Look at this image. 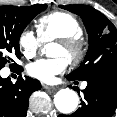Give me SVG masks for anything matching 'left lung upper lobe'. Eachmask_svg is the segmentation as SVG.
I'll return each mask as SVG.
<instances>
[{
    "instance_id": "1",
    "label": "left lung upper lobe",
    "mask_w": 117,
    "mask_h": 117,
    "mask_svg": "<svg viewBox=\"0 0 117 117\" xmlns=\"http://www.w3.org/2000/svg\"><path fill=\"white\" fill-rule=\"evenodd\" d=\"M59 7L79 15L89 37L86 57L69 77L73 80L86 81L96 74L117 70V29L108 18L88 5H59Z\"/></svg>"
}]
</instances>
